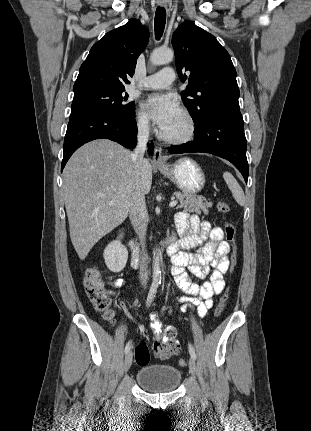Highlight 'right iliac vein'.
Here are the masks:
<instances>
[{"mask_svg": "<svg viewBox=\"0 0 311 431\" xmlns=\"http://www.w3.org/2000/svg\"><path fill=\"white\" fill-rule=\"evenodd\" d=\"M133 355L132 352H128L124 360V371H128L132 364Z\"/></svg>", "mask_w": 311, "mask_h": 431, "instance_id": "1", "label": "right iliac vein"}]
</instances>
